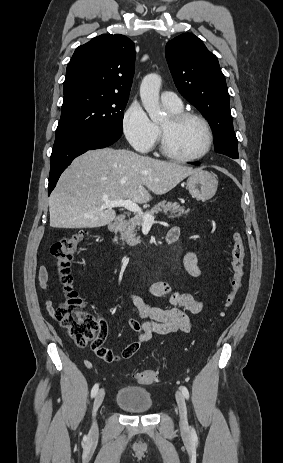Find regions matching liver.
<instances>
[{
	"instance_id": "liver-1",
	"label": "liver",
	"mask_w": 283,
	"mask_h": 463,
	"mask_svg": "<svg viewBox=\"0 0 283 463\" xmlns=\"http://www.w3.org/2000/svg\"><path fill=\"white\" fill-rule=\"evenodd\" d=\"M199 170L125 149L87 151L62 173L49 198L50 226H105L116 217L113 207H104L105 200L147 203L149 191L165 194Z\"/></svg>"
}]
</instances>
